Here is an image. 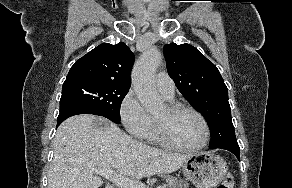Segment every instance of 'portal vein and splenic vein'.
Segmentation results:
<instances>
[{"mask_svg": "<svg viewBox=\"0 0 292 188\" xmlns=\"http://www.w3.org/2000/svg\"><path fill=\"white\" fill-rule=\"evenodd\" d=\"M93 171L113 182L120 188H146L143 183L132 181L127 177L117 174L114 170L93 169ZM157 188H163V186H157Z\"/></svg>", "mask_w": 292, "mask_h": 188, "instance_id": "1", "label": "portal vein and splenic vein"}]
</instances>
